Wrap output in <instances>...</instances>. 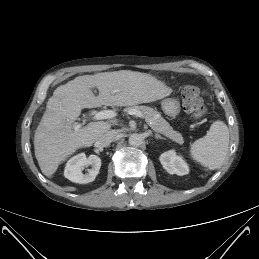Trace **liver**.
<instances>
[{
  "label": "liver",
  "mask_w": 259,
  "mask_h": 259,
  "mask_svg": "<svg viewBox=\"0 0 259 259\" xmlns=\"http://www.w3.org/2000/svg\"><path fill=\"white\" fill-rule=\"evenodd\" d=\"M93 87L99 90L98 96ZM170 92L155 77L130 70L78 76L59 86L49 98L34 135L35 157L42 173L51 177L68 156L110 130L109 122L96 121L75 132L74 122L82 109L133 106L159 100Z\"/></svg>",
  "instance_id": "liver-1"
}]
</instances>
